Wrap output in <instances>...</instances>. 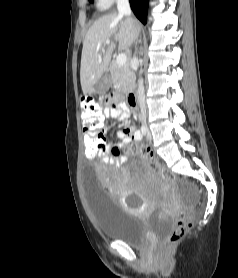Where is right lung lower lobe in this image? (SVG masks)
Masks as SVG:
<instances>
[{"mask_svg": "<svg viewBox=\"0 0 238 278\" xmlns=\"http://www.w3.org/2000/svg\"><path fill=\"white\" fill-rule=\"evenodd\" d=\"M129 2L136 17L146 24L149 0H129Z\"/></svg>", "mask_w": 238, "mask_h": 278, "instance_id": "right-lung-lower-lobe-1", "label": "right lung lower lobe"}]
</instances>
